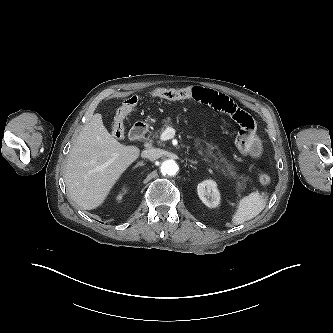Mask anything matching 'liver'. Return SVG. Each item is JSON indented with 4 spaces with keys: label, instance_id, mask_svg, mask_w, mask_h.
Listing matches in <instances>:
<instances>
[{
    "label": "liver",
    "instance_id": "liver-1",
    "mask_svg": "<svg viewBox=\"0 0 333 333\" xmlns=\"http://www.w3.org/2000/svg\"><path fill=\"white\" fill-rule=\"evenodd\" d=\"M140 149L125 146L105 128L96 113L80 131L65 167V183L74 202L83 209L100 206Z\"/></svg>",
    "mask_w": 333,
    "mask_h": 333
}]
</instances>
